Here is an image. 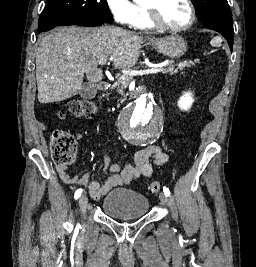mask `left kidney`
<instances>
[{
    "mask_svg": "<svg viewBox=\"0 0 256 267\" xmlns=\"http://www.w3.org/2000/svg\"><path fill=\"white\" fill-rule=\"evenodd\" d=\"M193 102H194V100H193V96H192L191 92H183V96H181V98H179V100L177 102V106H178V108H180V110H189V108H191Z\"/></svg>",
    "mask_w": 256,
    "mask_h": 267,
    "instance_id": "5707ae66",
    "label": "left kidney"
}]
</instances>
